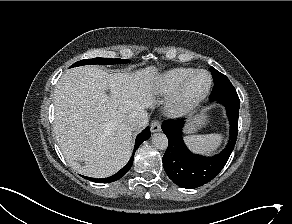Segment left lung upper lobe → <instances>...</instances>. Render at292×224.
Wrapping results in <instances>:
<instances>
[{
    "label": "left lung upper lobe",
    "instance_id": "obj_1",
    "mask_svg": "<svg viewBox=\"0 0 292 224\" xmlns=\"http://www.w3.org/2000/svg\"><path fill=\"white\" fill-rule=\"evenodd\" d=\"M214 80V87L210 96V101L217 100L223 96L237 94L229 79L215 68L210 67Z\"/></svg>",
    "mask_w": 292,
    "mask_h": 224
}]
</instances>
